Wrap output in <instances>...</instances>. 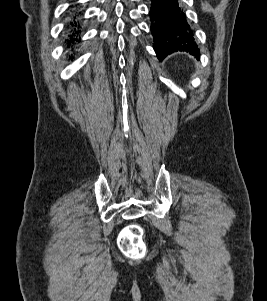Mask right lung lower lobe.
<instances>
[{"instance_id": "obj_1", "label": "right lung lower lobe", "mask_w": 267, "mask_h": 301, "mask_svg": "<svg viewBox=\"0 0 267 301\" xmlns=\"http://www.w3.org/2000/svg\"><path fill=\"white\" fill-rule=\"evenodd\" d=\"M73 14H75V11L73 12ZM80 28H81V23L79 20V14L76 12V18L73 17V15H72L71 20L69 22L68 30H69L70 34H69V39L67 40L68 44L78 41L77 36L79 34Z\"/></svg>"}]
</instances>
